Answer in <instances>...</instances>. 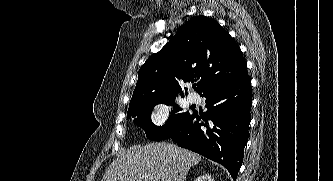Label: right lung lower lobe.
<instances>
[{"mask_svg": "<svg viewBox=\"0 0 333 181\" xmlns=\"http://www.w3.org/2000/svg\"><path fill=\"white\" fill-rule=\"evenodd\" d=\"M204 115L193 112L170 137L178 146L223 165L235 181L249 137L252 91L250 77L210 89Z\"/></svg>", "mask_w": 333, "mask_h": 181, "instance_id": "1", "label": "right lung lower lobe"}]
</instances>
